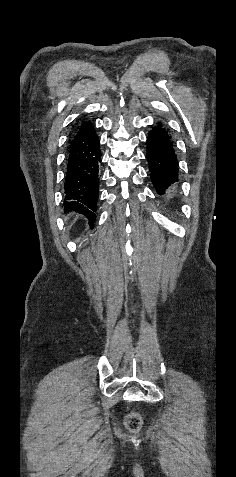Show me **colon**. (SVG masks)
<instances>
[{
  "label": "colon",
  "mask_w": 236,
  "mask_h": 477,
  "mask_svg": "<svg viewBox=\"0 0 236 477\" xmlns=\"http://www.w3.org/2000/svg\"><path fill=\"white\" fill-rule=\"evenodd\" d=\"M126 425L131 430H136L141 425V418L136 413H131L126 418Z\"/></svg>",
  "instance_id": "colon-1"
}]
</instances>
